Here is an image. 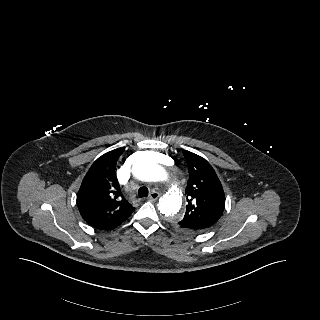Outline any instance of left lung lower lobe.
Returning <instances> with one entry per match:
<instances>
[{
	"label": "left lung lower lobe",
	"instance_id": "0a47b994",
	"mask_svg": "<svg viewBox=\"0 0 320 320\" xmlns=\"http://www.w3.org/2000/svg\"><path fill=\"white\" fill-rule=\"evenodd\" d=\"M181 229L187 231V232H190V233H196L198 231H194V230H191L190 228H188L187 226H180Z\"/></svg>",
	"mask_w": 320,
	"mask_h": 320
}]
</instances>
